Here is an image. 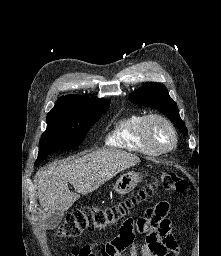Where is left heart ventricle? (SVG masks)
Wrapping results in <instances>:
<instances>
[{
    "instance_id": "left-heart-ventricle-1",
    "label": "left heart ventricle",
    "mask_w": 221,
    "mask_h": 256,
    "mask_svg": "<svg viewBox=\"0 0 221 256\" xmlns=\"http://www.w3.org/2000/svg\"><path fill=\"white\" fill-rule=\"evenodd\" d=\"M150 136L153 142L159 147H167L172 142V133L170 129L160 121H154L151 123Z\"/></svg>"
}]
</instances>
